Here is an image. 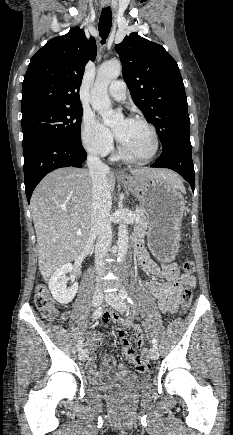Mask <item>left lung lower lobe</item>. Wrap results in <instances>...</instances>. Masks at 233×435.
<instances>
[{
	"mask_svg": "<svg viewBox=\"0 0 233 435\" xmlns=\"http://www.w3.org/2000/svg\"><path fill=\"white\" fill-rule=\"evenodd\" d=\"M163 147V151L158 161L150 167L169 168L179 173L195 189V172L192 161L190 136L184 135L177 137Z\"/></svg>",
	"mask_w": 233,
	"mask_h": 435,
	"instance_id": "1",
	"label": "left lung lower lobe"
}]
</instances>
